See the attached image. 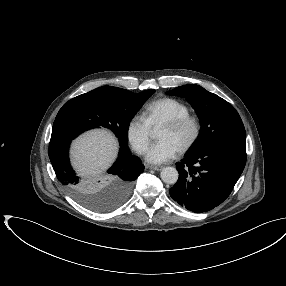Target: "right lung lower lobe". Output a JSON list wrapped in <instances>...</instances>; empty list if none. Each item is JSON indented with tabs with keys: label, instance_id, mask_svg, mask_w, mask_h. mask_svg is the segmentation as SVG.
I'll list each match as a JSON object with an SVG mask.
<instances>
[{
	"label": "right lung lower lobe",
	"instance_id": "98d812e1",
	"mask_svg": "<svg viewBox=\"0 0 286 286\" xmlns=\"http://www.w3.org/2000/svg\"><path fill=\"white\" fill-rule=\"evenodd\" d=\"M76 136L77 135L60 125L53 124L49 145V158L57 179L71 195L76 199H80V197L87 195L88 192L100 189L101 185L97 182L82 181L71 168L68 159V149L71 140ZM143 171L144 166L141 160L136 156H132L127 146H121L117 160L107 171L106 181L108 185L105 186L103 192L112 195L120 186H124L129 196L133 181L136 180ZM125 200L109 208V210L117 207Z\"/></svg>",
	"mask_w": 286,
	"mask_h": 286
}]
</instances>
